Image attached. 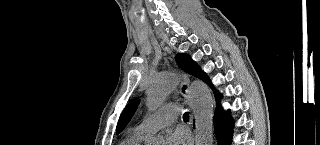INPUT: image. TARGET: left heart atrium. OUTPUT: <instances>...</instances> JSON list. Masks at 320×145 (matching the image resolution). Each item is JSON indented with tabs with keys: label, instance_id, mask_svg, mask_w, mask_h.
I'll list each match as a JSON object with an SVG mask.
<instances>
[{
	"label": "left heart atrium",
	"instance_id": "left-heart-atrium-1",
	"mask_svg": "<svg viewBox=\"0 0 320 145\" xmlns=\"http://www.w3.org/2000/svg\"><path fill=\"white\" fill-rule=\"evenodd\" d=\"M169 145H190L191 137L183 129H178L170 134L168 138Z\"/></svg>",
	"mask_w": 320,
	"mask_h": 145
}]
</instances>
